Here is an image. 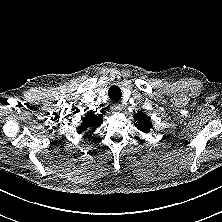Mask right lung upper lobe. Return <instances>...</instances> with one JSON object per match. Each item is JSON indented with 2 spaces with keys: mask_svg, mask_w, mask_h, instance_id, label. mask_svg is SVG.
Instances as JSON below:
<instances>
[{
  "mask_svg": "<svg viewBox=\"0 0 222 222\" xmlns=\"http://www.w3.org/2000/svg\"><path fill=\"white\" fill-rule=\"evenodd\" d=\"M103 121V116L101 114H95V112H90L83 118L82 124L77 128V132L81 134L82 132L90 129L98 128Z\"/></svg>",
  "mask_w": 222,
  "mask_h": 222,
  "instance_id": "right-lung-upper-lobe-1",
  "label": "right lung upper lobe"
}]
</instances>
